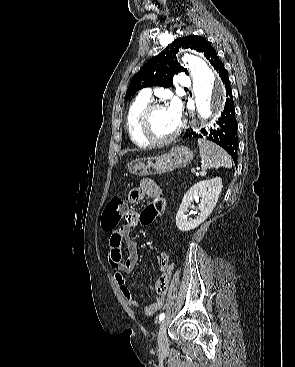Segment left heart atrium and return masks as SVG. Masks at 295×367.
I'll use <instances>...</instances> for the list:
<instances>
[{
	"instance_id": "39dd6f15",
	"label": "left heart atrium",
	"mask_w": 295,
	"mask_h": 367,
	"mask_svg": "<svg viewBox=\"0 0 295 367\" xmlns=\"http://www.w3.org/2000/svg\"><path fill=\"white\" fill-rule=\"evenodd\" d=\"M167 110L171 117L176 121V123H180L181 118V105L178 100L173 99L169 106L167 107Z\"/></svg>"
}]
</instances>
